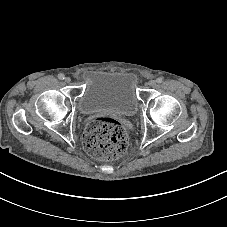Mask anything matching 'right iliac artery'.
I'll list each match as a JSON object with an SVG mask.
<instances>
[{
  "mask_svg": "<svg viewBox=\"0 0 227 227\" xmlns=\"http://www.w3.org/2000/svg\"><path fill=\"white\" fill-rule=\"evenodd\" d=\"M58 78H59L60 80H63V79L65 78V76H64V74L60 73V74H58Z\"/></svg>",
  "mask_w": 227,
  "mask_h": 227,
  "instance_id": "right-iliac-artery-1",
  "label": "right iliac artery"
}]
</instances>
